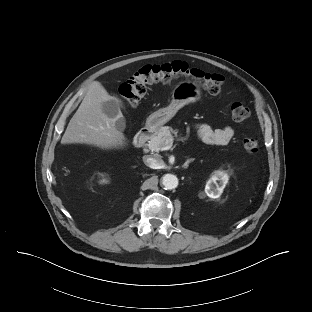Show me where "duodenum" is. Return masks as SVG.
<instances>
[{"label":"duodenum","mask_w":312,"mask_h":312,"mask_svg":"<svg viewBox=\"0 0 312 312\" xmlns=\"http://www.w3.org/2000/svg\"><path fill=\"white\" fill-rule=\"evenodd\" d=\"M154 127L153 126H146L141 129L133 138V145L136 148H140L145 145L148 139L154 134Z\"/></svg>","instance_id":"duodenum-1"}]
</instances>
